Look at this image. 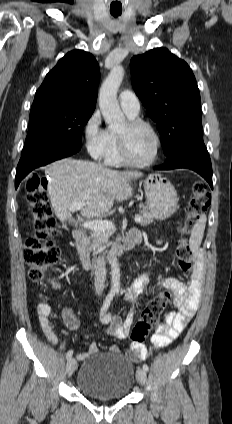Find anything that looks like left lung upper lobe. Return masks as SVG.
<instances>
[{"instance_id": "1", "label": "left lung upper lobe", "mask_w": 232, "mask_h": 424, "mask_svg": "<svg viewBox=\"0 0 232 424\" xmlns=\"http://www.w3.org/2000/svg\"><path fill=\"white\" fill-rule=\"evenodd\" d=\"M135 93L157 123L164 154L186 137L202 131L201 100L188 64L165 48H156L130 61Z\"/></svg>"}]
</instances>
